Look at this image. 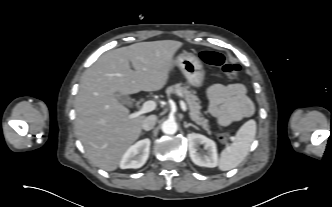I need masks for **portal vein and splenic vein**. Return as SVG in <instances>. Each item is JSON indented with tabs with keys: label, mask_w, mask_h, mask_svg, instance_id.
<instances>
[{
	"label": "portal vein and splenic vein",
	"mask_w": 332,
	"mask_h": 207,
	"mask_svg": "<svg viewBox=\"0 0 332 207\" xmlns=\"http://www.w3.org/2000/svg\"><path fill=\"white\" fill-rule=\"evenodd\" d=\"M180 106H181L182 110L184 112H186L187 107H186V104L183 100H180ZM155 108H156V102L155 101H152V100L146 101V102L143 103V105H142V107L139 111L134 112L130 115V118L131 119L137 118V117H139L140 115H142L144 113L153 111Z\"/></svg>",
	"instance_id": "1"
}]
</instances>
